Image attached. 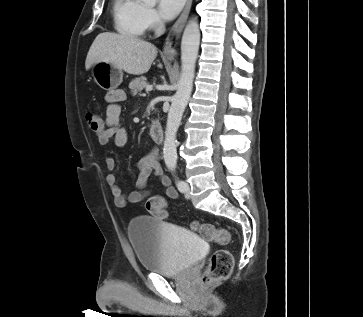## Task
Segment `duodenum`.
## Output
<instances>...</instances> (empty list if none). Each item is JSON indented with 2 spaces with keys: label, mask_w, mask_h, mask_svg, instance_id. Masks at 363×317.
Returning <instances> with one entry per match:
<instances>
[{
  "label": "duodenum",
  "mask_w": 363,
  "mask_h": 317,
  "mask_svg": "<svg viewBox=\"0 0 363 317\" xmlns=\"http://www.w3.org/2000/svg\"><path fill=\"white\" fill-rule=\"evenodd\" d=\"M150 136L155 142V144L160 145L164 140V131L162 124L158 121H153L150 124Z\"/></svg>",
  "instance_id": "1"
}]
</instances>
